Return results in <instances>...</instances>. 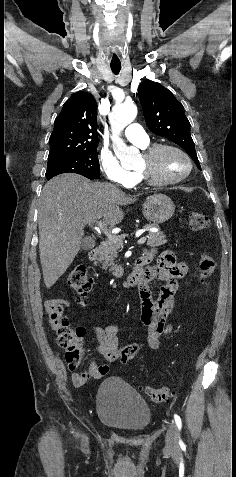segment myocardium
<instances>
[{
  "instance_id": "1",
  "label": "myocardium",
  "mask_w": 236,
  "mask_h": 477,
  "mask_svg": "<svg viewBox=\"0 0 236 477\" xmlns=\"http://www.w3.org/2000/svg\"><path fill=\"white\" fill-rule=\"evenodd\" d=\"M165 151H174L178 154H180L187 163V169L185 173H183L181 176L172 178V179H167V180H159L156 179L153 176L152 169L150 167H144V168H137L136 173L139 176L140 180L148 185L151 186H166V185H174L182 182L184 179H186L191 171H192V160L190 156L181 148L175 145L171 144H156L153 145L149 148H147L143 152V158L145 162L150 166L152 162L163 152Z\"/></svg>"
}]
</instances>
